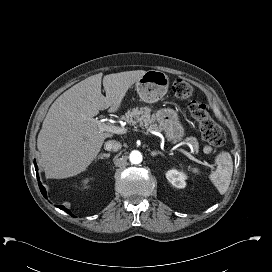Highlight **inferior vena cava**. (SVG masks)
Listing matches in <instances>:
<instances>
[{"label":"inferior vena cava","instance_id":"602c4592","mask_svg":"<svg viewBox=\"0 0 272 272\" xmlns=\"http://www.w3.org/2000/svg\"><path fill=\"white\" fill-rule=\"evenodd\" d=\"M121 148V143L115 140L107 141L104 145V149L107 151H118Z\"/></svg>","mask_w":272,"mask_h":272}]
</instances>
